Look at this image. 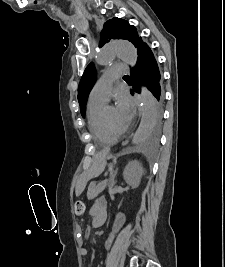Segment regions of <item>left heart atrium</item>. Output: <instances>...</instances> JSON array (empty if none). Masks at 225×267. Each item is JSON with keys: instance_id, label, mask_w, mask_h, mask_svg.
<instances>
[{"instance_id": "1", "label": "left heart atrium", "mask_w": 225, "mask_h": 267, "mask_svg": "<svg viewBox=\"0 0 225 267\" xmlns=\"http://www.w3.org/2000/svg\"><path fill=\"white\" fill-rule=\"evenodd\" d=\"M115 110L118 120L122 126L126 128L133 117V104L130 97L126 93L120 92L117 95Z\"/></svg>"}]
</instances>
